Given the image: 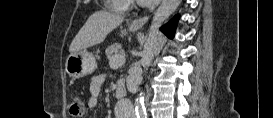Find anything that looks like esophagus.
Listing matches in <instances>:
<instances>
[{
  "mask_svg": "<svg viewBox=\"0 0 273 118\" xmlns=\"http://www.w3.org/2000/svg\"><path fill=\"white\" fill-rule=\"evenodd\" d=\"M148 19H149L148 16H145V17H142L139 19H135L132 21L131 27H133L135 29H139L147 23Z\"/></svg>",
  "mask_w": 273,
  "mask_h": 118,
  "instance_id": "1",
  "label": "esophagus"
}]
</instances>
